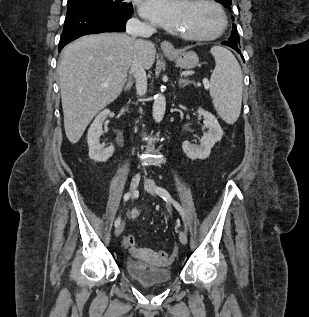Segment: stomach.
<instances>
[{
	"mask_svg": "<svg viewBox=\"0 0 309 317\" xmlns=\"http://www.w3.org/2000/svg\"><path fill=\"white\" fill-rule=\"evenodd\" d=\"M165 54L166 56L174 59L176 65L183 69H192L199 63V58L193 51L177 50L174 53Z\"/></svg>",
	"mask_w": 309,
	"mask_h": 317,
	"instance_id": "stomach-1",
	"label": "stomach"
}]
</instances>
